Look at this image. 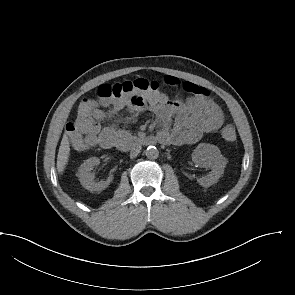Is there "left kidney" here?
I'll return each instance as SVG.
<instances>
[{"instance_id": "5707ae66", "label": "left kidney", "mask_w": 295, "mask_h": 295, "mask_svg": "<svg viewBox=\"0 0 295 295\" xmlns=\"http://www.w3.org/2000/svg\"><path fill=\"white\" fill-rule=\"evenodd\" d=\"M192 161L198 166L210 168L206 176L198 179L203 187H210L218 182L224 173L226 159L222 156L219 148L212 144L200 143L192 153Z\"/></svg>"}]
</instances>
